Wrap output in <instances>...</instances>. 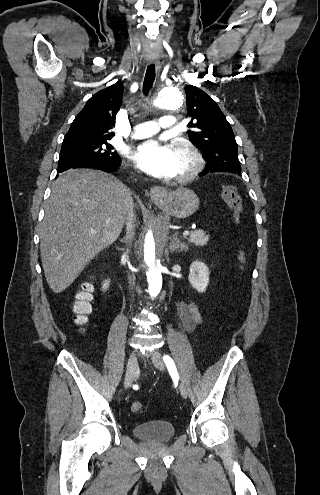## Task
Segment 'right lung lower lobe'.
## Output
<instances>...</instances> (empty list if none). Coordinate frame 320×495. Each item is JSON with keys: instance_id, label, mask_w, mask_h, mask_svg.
I'll return each mask as SVG.
<instances>
[{"instance_id": "1", "label": "right lung lower lobe", "mask_w": 320, "mask_h": 495, "mask_svg": "<svg viewBox=\"0 0 320 495\" xmlns=\"http://www.w3.org/2000/svg\"><path fill=\"white\" fill-rule=\"evenodd\" d=\"M120 165H121V159L114 162L90 161V162L73 163L70 165L62 166L58 168L57 172L61 173L68 169H75V168H94L105 172H114L119 168Z\"/></svg>"}]
</instances>
